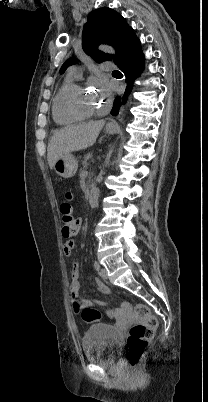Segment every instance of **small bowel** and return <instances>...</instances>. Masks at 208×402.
Wrapping results in <instances>:
<instances>
[{
  "mask_svg": "<svg viewBox=\"0 0 208 402\" xmlns=\"http://www.w3.org/2000/svg\"><path fill=\"white\" fill-rule=\"evenodd\" d=\"M82 227V222L81 221H76L75 226H74V231L75 232H80ZM76 241L75 237L71 238V241H69L66 246L63 248V253L65 254L66 258L71 257V252L74 249V243ZM70 293L73 298H78V293L80 290V270L79 267L76 263H73L71 265V270H70ZM94 286L97 289L98 292H100L102 295H108L110 292V289L108 286H106L100 279L96 278L94 280ZM82 305L84 306H94L95 303L89 299H83L80 300ZM133 312L130 310L129 304H123L122 307L114 309L111 313L110 316L114 317L118 321H120L122 324H127L130 321V317H132ZM122 324H119V327H122Z\"/></svg>",
  "mask_w": 208,
  "mask_h": 402,
  "instance_id": "c3829d8e",
  "label": "small bowel"
}]
</instances>
